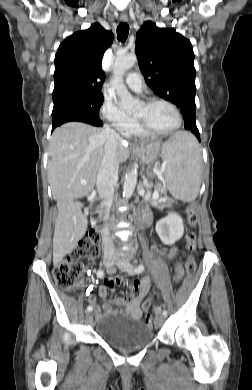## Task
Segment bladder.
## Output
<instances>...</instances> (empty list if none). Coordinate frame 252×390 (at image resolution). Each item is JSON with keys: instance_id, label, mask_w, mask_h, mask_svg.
<instances>
[{"instance_id": "1", "label": "bladder", "mask_w": 252, "mask_h": 390, "mask_svg": "<svg viewBox=\"0 0 252 390\" xmlns=\"http://www.w3.org/2000/svg\"><path fill=\"white\" fill-rule=\"evenodd\" d=\"M95 333L108 345L122 351L143 348L154 336L149 325L127 318H102L96 323Z\"/></svg>"}]
</instances>
